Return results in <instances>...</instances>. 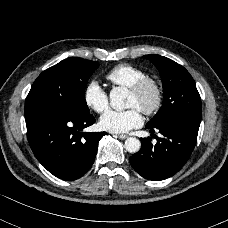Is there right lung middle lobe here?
Masks as SVG:
<instances>
[{
    "label": "right lung middle lobe",
    "mask_w": 228,
    "mask_h": 228,
    "mask_svg": "<svg viewBox=\"0 0 228 228\" xmlns=\"http://www.w3.org/2000/svg\"><path fill=\"white\" fill-rule=\"evenodd\" d=\"M96 61L69 58L43 71L33 83L25 109L37 105H57L76 113L89 114L84 91L98 68Z\"/></svg>",
    "instance_id": "dd1d6c3e"
}]
</instances>
